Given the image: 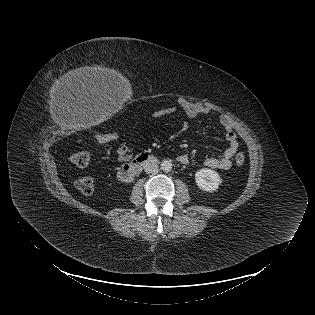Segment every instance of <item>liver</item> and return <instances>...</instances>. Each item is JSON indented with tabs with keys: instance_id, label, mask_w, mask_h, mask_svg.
I'll return each mask as SVG.
<instances>
[{
	"instance_id": "1",
	"label": "liver",
	"mask_w": 315,
	"mask_h": 315,
	"mask_svg": "<svg viewBox=\"0 0 315 315\" xmlns=\"http://www.w3.org/2000/svg\"><path fill=\"white\" fill-rule=\"evenodd\" d=\"M60 85L63 87H72L76 84L84 85L86 83H117L123 84L126 79L120 72L105 67H81L71 70L64 74L60 79Z\"/></svg>"
}]
</instances>
